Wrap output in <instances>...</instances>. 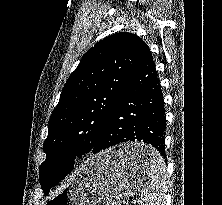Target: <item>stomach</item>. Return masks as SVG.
Masks as SVG:
<instances>
[{
	"mask_svg": "<svg viewBox=\"0 0 222 205\" xmlns=\"http://www.w3.org/2000/svg\"><path fill=\"white\" fill-rule=\"evenodd\" d=\"M136 151L156 156L153 147L132 142L100 152L88 158L74 172L68 184L42 205H120L148 178L150 165L128 162Z\"/></svg>",
	"mask_w": 222,
	"mask_h": 205,
	"instance_id": "obj_1",
	"label": "stomach"
}]
</instances>
